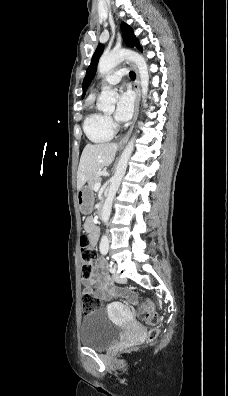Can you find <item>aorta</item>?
<instances>
[{"mask_svg": "<svg viewBox=\"0 0 228 396\" xmlns=\"http://www.w3.org/2000/svg\"><path fill=\"white\" fill-rule=\"evenodd\" d=\"M124 60H129L136 64L140 76L142 97H143V101L145 102L146 101L145 97L148 93L149 73H148L147 63L144 57L139 53L127 49H119V50H113L108 54H103L98 63V71L100 74L104 75L108 73L110 70H112L114 67H116L118 64L123 62ZM117 98L118 95L115 91L111 90L107 86H104L102 88V92L99 98L98 108L103 111L114 109ZM134 140H135V136L126 145L119 159V162L116 166L115 174L110 180L109 191L101 213L102 221L105 224H107L110 218L114 197L125 175L128 161L133 152ZM108 248H109V239L106 235H103L100 241V251L107 252Z\"/></svg>", "mask_w": 228, "mask_h": 396, "instance_id": "obj_1", "label": "aorta"}]
</instances>
